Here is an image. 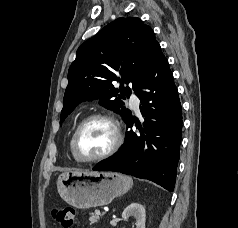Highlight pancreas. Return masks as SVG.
I'll list each match as a JSON object with an SVG mask.
<instances>
[{
    "label": "pancreas",
    "mask_w": 238,
    "mask_h": 228,
    "mask_svg": "<svg viewBox=\"0 0 238 228\" xmlns=\"http://www.w3.org/2000/svg\"><path fill=\"white\" fill-rule=\"evenodd\" d=\"M99 220H100V215H97L94 213L90 214V217H89L90 223L94 224V223H97Z\"/></svg>",
    "instance_id": "cf45deb5"
}]
</instances>
